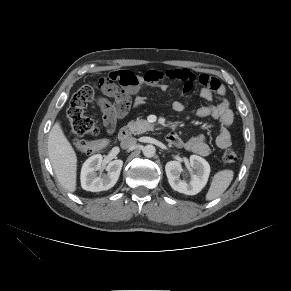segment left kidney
Masks as SVG:
<instances>
[{
  "mask_svg": "<svg viewBox=\"0 0 291 291\" xmlns=\"http://www.w3.org/2000/svg\"><path fill=\"white\" fill-rule=\"evenodd\" d=\"M190 165L194 172L191 174L189 181L179 178L182 166L178 161L167 162L165 172L173 190L186 195H195L205 187L210 174V165L198 155L190 156Z\"/></svg>",
  "mask_w": 291,
  "mask_h": 291,
  "instance_id": "5707ae66",
  "label": "left kidney"
}]
</instances>
